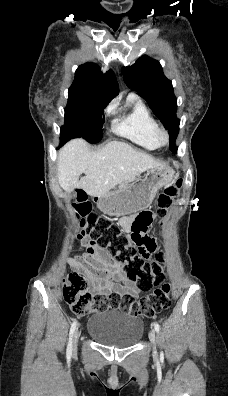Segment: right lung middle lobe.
<instances>
[{
    "label": "right lung middle lobe",
    "mask_w": 228,
    "mask_h": 396,
    "mask_svg": "<svg viewBox=\"0 0 228 396\" xmlns=\"http://www.w3.org/2000/svg\"><path fill=\"white\" fill-rule=\"evenodd\" d=\"M107 104L97 95L69 90L60 141L65 143L72 138L82 137L90 143L99 142L104 122L102 112Z\"/></svg>",
    "instance_id": "dd1d6c3e"
}]
</instances>
